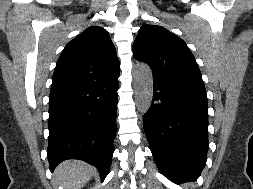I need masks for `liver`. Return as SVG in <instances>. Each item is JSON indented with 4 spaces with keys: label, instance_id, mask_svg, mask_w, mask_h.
I'll return each mask as SVG.
<instances>
[{
    "label": "liver",
    "instance_id": "6515ba94",
    "mask_svg": "<svg viewBox=\"0 0 253 189\" xmlns=\"http://www.w3.org/2000/svg\"><path fill=\"white\" fill-rule=\"evenodd\" d=\"M92 166L80 160H67L55 170V178L65 189H81L93 176Z\"/></svg>",
    "mask_w": 253,
    "mask_h": 189
}]
</instances>
